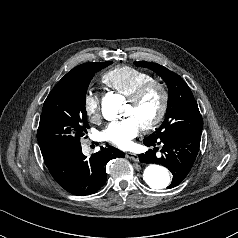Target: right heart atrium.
<instances>
[{
    "label": "right heart atrium",
    "instance_id": "1",
    "mask_svg": "<svg viewBox=\"0 0 238 238\" xmlns=\"http://www.w3.org/2000/svg\"><path fill=\"white\" fill-rule=\"evenodd\" d=\"M83 107L91 121L96 122L100 117V96L96 91L89 90L83 98Z\"/></svg>",
    "mask_w": 238,
    "mask_h": 238
}]
</instances>
